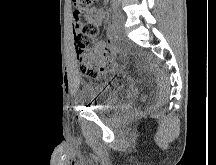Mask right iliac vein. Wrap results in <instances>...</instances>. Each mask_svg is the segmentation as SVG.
Here are the masks:
<instances>
[{
  "instance_id": "63e3f726",
  "label": "right iliac vein",
  "mask_w": 216,
  "mask_h": 165,
  "mask_svg": "<svg viewBox=\"0 0 216 165\" xmlns=\"http://www.w3.org/2000/svg\"><path fill=\"white\" fill-rule=\"evenodd\" d=\"M123 23H124V19L122 15H120L119 13H114L113 14V24L115 26L117 35H120L122 33Z\"/></svg>"
}]
</instances>
